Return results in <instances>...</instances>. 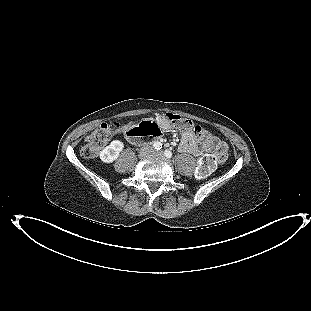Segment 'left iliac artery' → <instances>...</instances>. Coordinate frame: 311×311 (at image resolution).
I'll return each mask as SVG.
<instances>
[{"label": "left iliac artery", "mask_w": 311, "mask_h": 311, "mask_svg": "<svg viewBox=\"0 0 311 311\" xmlns=\"http://www.w3.org/2000/svg\"><path fill=\"white\" fill-rule=\"evenodd\" d=\"M164 154H165V156H166L167 158H171V157H172V153H171V151H169V150H165V151H164Z\"/></svg>", "instance_id": "44dca946"}]
</instances>
